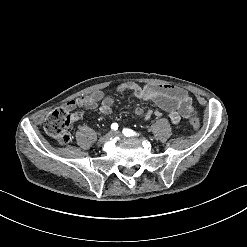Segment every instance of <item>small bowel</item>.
<instances>
[{"mask_svg": "<svg viewBox=\"0 0 247 247\" xmlns=\"http://www.w3.org/2000/svg\"><path fill=\"white\" fill-rule=\"evenodd\" d=\"M116 91L118 93L129 91L137 99L152 101L159 107V110L147 112L145 120L151 119L153 115L161 116V111L168 113V117L173 124L179 123L181 115L187 122L193 121L197 117L196 108L191 106L190 95L185 89L178 86L158 84L140 86L135 82H126L119 84L116 87ZM113 105L114 100L111 97L105 96L101 90H96L90 95L68 101L65 103L64 109L67 111H73L77 108L97 109L101 113L109 115L113 111ZM134 114L136 116L142 115L143 109L136 107ZM74 115V120H79L82 118L83 113L76 112Z\"/></svg>", "mask_w": 247, "mask_h": 247, "instance_id": "small-bowel-1", "label": "small bowel"}]
</instances>
